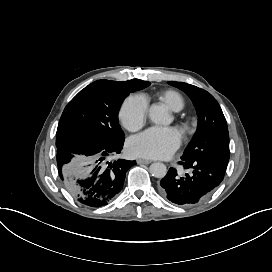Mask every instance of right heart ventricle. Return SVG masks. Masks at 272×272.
<instances>
[{
	"mask_svg": "<svg viewBox=\"0 0 272 272\" xmlns=\"http://www.w3.org/2000/svg\"><path fill=\"white\" fill-rule=\"evenodd\" d=\"M162 99L167 103V105L171 109H173L175 111H178V110L182 109V107H183V99L177 92L166 91L162 95Z\"/></svg>",
	"mask_w": 272,
	"mask_h": 272,
	"instance_id": "right-heart-ventricle-1",
	"label": "right heart ventricle"
}]
</instances>
